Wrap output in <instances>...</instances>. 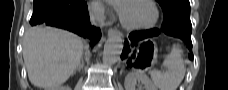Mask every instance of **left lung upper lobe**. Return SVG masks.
<instances>
[{"instance_id":"left-lung-upper-lobe-1","label":"left lung upper lobe","mask_w":228,"mask_h":90,"mask_svg":"<svg viewBox=\"0 0 228 90\" xmlns=\"http://www.w3.org/2000/svg\"><path fill=\"white\" fill-rule=\"evenodd\" d=\"M164 14V25L191 28L189 0H157Z\"/></svg>"}]
</instances>
